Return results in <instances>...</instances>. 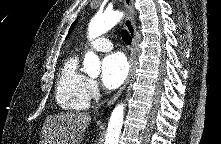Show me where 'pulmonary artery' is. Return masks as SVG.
<instances>
[{
	"label": "pulmonary artery",
	"instance_id": "obj_1",
	"mask_svg": "<svg viewBox=\"0 0 221 144\" xmlns=\"http://www.w3.org/2000/svg\"><path fill=\"white\" fill-rule=\"evenodd\" d=\"M90 47L96 51L106 52L112 50L113 44L108 38L101 37L93 41Z\"/></svg>",
	"mask_w": 221,
	"mask_h": 144
}]
</instances>
